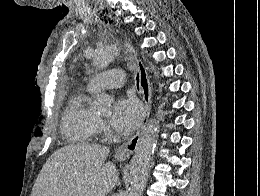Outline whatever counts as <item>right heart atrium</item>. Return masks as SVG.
Returning <instances> with one entry per match:
<instances>
[{
  "label": "right heart atrium",
  "mask_w": 260,
  "mask_h": 196,
  "mask_svg": "<svg viewBox=\"0 0 260 196\" xmlns=\"http://www.w3.org/2000/svg\"><path fill=\"white\" fill-rule=\"evenodd\" d=\"M56 192H86V190H56Z\"/></svg>",
  "instance_id": "d8ad5b80"
}]
</instances>
